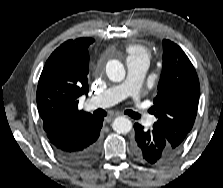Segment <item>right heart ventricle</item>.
Segmentation results:
<instances>
[{
	"mask_svg": "<svg viewBox=\"0 0 223 188\" xmlns=\"http://www.w3.org/2000/svg\"><path fill=\"white\" fill-rule=\"evenodd\" d=\"M127 52L129 54V57H143L149 61L150 59V53L147 49L144 47L137 45V44H131L127 46Z\"/></svg>",
	"mask_w": 223,
	"mask_h": 188,
	"instance_id": "obj_1",
	"label": "right heart ventricle"
}]
</instances>
